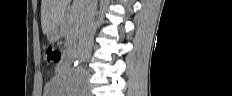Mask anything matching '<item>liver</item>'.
Instances as JSON below:
<instances>
[{
	"instance_id": "liver-1",
	"label": "liver",
	"mask_w": 232,
	"mask_h": 96,
	"mask_svg": "<svg viewBox=\"0 0 232 96\" xmlns=\"http://www.w3.org/2000/svg\"><path fill=\"white\" fill-rule=\"evenodd\" d=\"M77 0V5L80 6ZM70 0H42L41 2V26L43 34L50 33L57 28L64 16Z\"/></svg>"
}]
</instances>
